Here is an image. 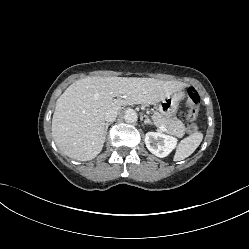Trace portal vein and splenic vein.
<instances>
[{
    "label": "portal vein and splenic vein",
    "instance_id": "1",
    "mask_svg": "<svg viewBox=\"0 0 249 249\" xmlns=\"http://www.w3.org/2000/svg\"><path fill=\"white\" fill-rule=\"evenodd\" d=\"M158 128H159L161 131H163V132L166 131V128H165L164 126L158 125Z\"/></svg>",
    "mask_w": 249,
    "mask_h": 249
}]
</instances>
